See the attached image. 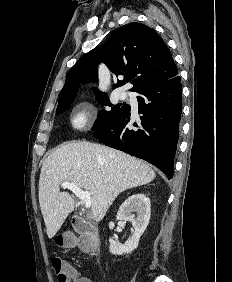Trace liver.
Here are the masks:
<instances>
[{
  "mask_svg": "<svg viewBox=\"0 0 232 282\" xmlns=\"http://www.w3.org/2000/svg\"><path fill=\"white\" fill-rule=\"evenodd\" d=\"M155 176L145 162L104 145L76 141L60 146L45 159L39 179V203L48 238L55 236L74 210L73 196L60 192L62 182L90 193L92 215L100 221L120 193L148 184Z\"/></svg>",
  "mask_w": 232,
  "mask_h": 282,
  "instance_id": "liver-1",
  "label": "liver"
}]
</instances>
